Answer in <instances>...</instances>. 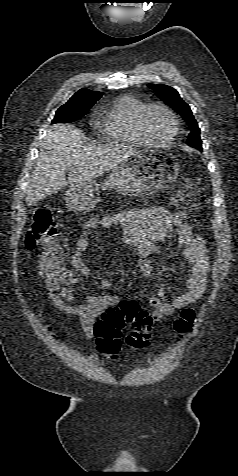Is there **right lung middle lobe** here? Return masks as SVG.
Here are the masks:
<instances>
[{
    "mask_svg": "<svg viewBox=\"0 0 238 476\" xmlns=\"http://www.w3.org/2000/svg\"><path fill=\"white\" fill-rule=\"evenodd\" d=\"M91 107L92 105H79L67 102L56 111L52 122L56 123L76 121L84 116Z\"/></svg>",
    "mask_w": 238,
    "mask_h": 476,
    "instance_id": "1",
    "label": "right lung middle lobe"
}]
</instances>
